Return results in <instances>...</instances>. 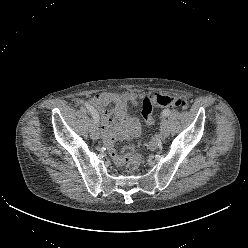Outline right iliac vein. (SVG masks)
<instances>
[{"label": "right iliac vein", "instance_id": "1", "mask_svg": "<svg viewBox=\"0 0 248 248\" xmlns=\"http://www.w3.org/2000/svg\"><path fill=\"white\" fill-rule=\"evenodd\" d=\"M99 134L98 124L94 121L90 128V136L93 140H97L99 138Z\"/></svg>", "mask_w": 248, "mask_h": 248}]
</instances>
